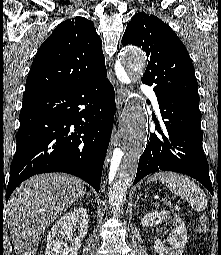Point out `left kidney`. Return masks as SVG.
Wrapping results in <instances>:
<instances>
[{
    "instance_id": "left-kidney-1",
    "label": "left kidney",
    "mask_w": 221,
    "mask_h": 255,
    "mask_svg": "<svg viewBox=\"0 0 221 255\" xmlns=\"http://www.w3.org/2000/svg\"><path fill=\"white\" fill-rule=\"evenodd\" d=\"M172 224L170 247L164 245L161 240L154 242V249L159 255H182L183 248L187 242V229L184 221L170 211L163 210L161 212H149L141 219L143 227H148L156 220Z\"/></svg>"
}]
</instances>
